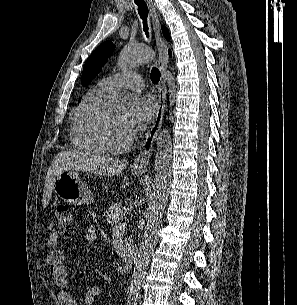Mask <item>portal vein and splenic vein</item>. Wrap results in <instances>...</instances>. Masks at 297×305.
Instances as JSON below:
<instances>
[{
    "label": "portal vein and splenic vein",
    "instance_id": "portal-vein-and-splenic-vein-1",
    "mask_svg": "<svg viewBox=\"0 0 297 305\" xmlns=\"http://www.w3.org/2000/svg\"><path fill=\"white\" fill-rule=\"evenodd\" d=\"M123 226H120L119 228L122 229Z\"/></svg>",
    "mask_w": 297,
    "mask_h": 305
}]
</instances>
